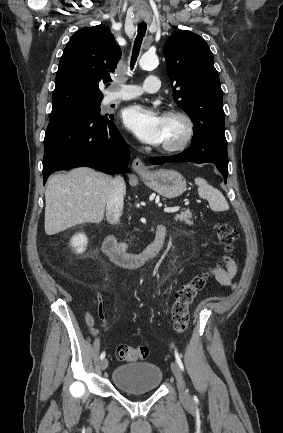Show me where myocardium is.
<instances>
[{
  "label": "myocardium",
  "mask_w": 283,
  "mask_h": 433,
  "mask_svg": "<svg viewBox=\"0 0 283 433\" xmlns=\"http://www.w3.org/2000/svg\"><path fill=\"white\" fill-rule=\"evenodd\" d=\"M163 117H178L185 124V133L182 139L176 144L167 146L161 150V154L165 156L178 155L185 151L192 142L196 133V123L188 112L181 109H168L164 112Z\"/></svg>",
  "instance_id": "f54148a6"
}]
</instances>
